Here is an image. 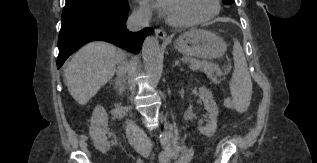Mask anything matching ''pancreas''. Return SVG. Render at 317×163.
<instances>
[{
	"instance_id": "1",
	"label": "pancreas",
	"mask_w": 317,
	"mask_h": 163,
	"mask_svg": "<svg viewBox=\"0 0 317 163\" xmlns=\"http://www.w3.org/2000/svg\"><path fill=\"white\" fill-rule=\"evenodd\" d=\"M186 60L190 63V68L192 70H202L213 82H217V77L222 74L219 67L215 64L190 57H187Z\"/></svg>"
}]
</instances>
